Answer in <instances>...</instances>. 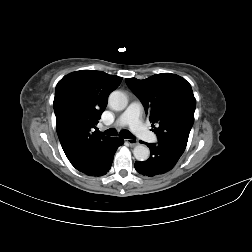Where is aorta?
Segmentation results:
<instances>
[{
    "label": "aorta",
    "mask_w": 252,
    "mask_h": 252,
    "mask_svg": "<svg viewBox=\"0 0 252 252\" xmlns=\"http://www.w3.org/2000/svg\"><path fill=\"white\" fill-rule=\"evenodd\" d=\"M108 104L111 109L121 111L127 106L128 99L123 92L113 91L109 96ZM133 154L138 161H145L149 158L150 151L146 145L138 144L134 147Z\"/></svg>",
    "instance_id": "1"
}]
</instances>
